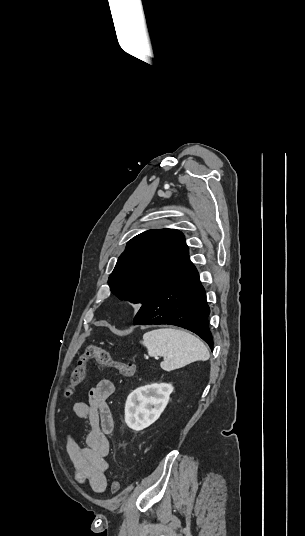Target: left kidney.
I'll return each instance as SVG.
<instances>
[{"label":"left kidney","mask_w":305,"mask_h":536,"mask_svg":"<svg viewBox=\"0 0 305 536\" xmlns=\"http://www.w3.org/2000/svg\"><path fill=\"white\" fill-rule=\"evenodd\" d=\"M173 390L172 384H150L131 392L125 404L128 428L140 432L154 424L165 410Z\"/></svg>","instance_id":"left-kidney-1"}]
</instances>
